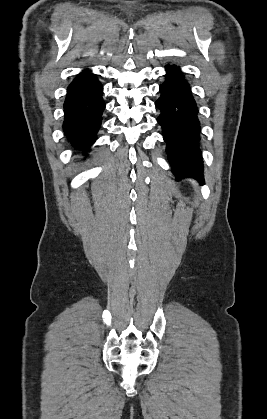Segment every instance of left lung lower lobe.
<instances>
[{
	"mask_svg": "<svg viewBox=\"0 0 267 419\" xmlns=\"http://www.w3.org/2000/svg\"><path fill=\"white\" fill-rule=\"evenodd\" d=\"M166 71V80L159 87L161 95L155 105L161 112L157 121L167 144L172 172L178 179L192 177L203 181L198 107L180 69L169 65Z\"/></svg>",
	"mask_w": 267,
	"mask_h": 419,
	"instance_id": "left-lung-lower-lobe-1",
	"label": "left lung lower lobe"
}]
</instances>
